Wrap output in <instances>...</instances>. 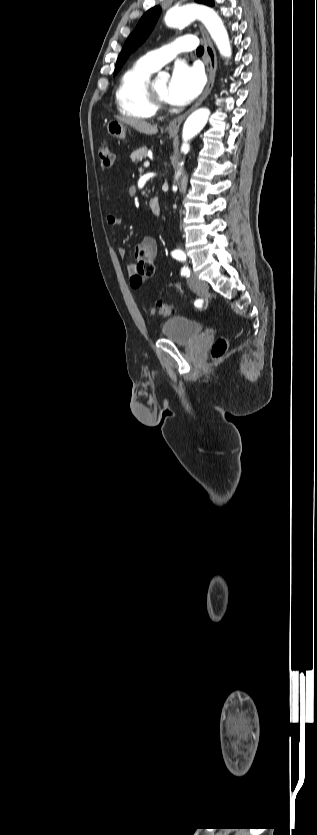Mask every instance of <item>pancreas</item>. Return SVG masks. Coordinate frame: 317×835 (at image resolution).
<instances>
[{
    "label": "pancreas",
    "instance_id": "obj_1",
    "mask_svg": "<svg viewBox=\"0 0 317 835\" xmlns=\"http://www.w3.org/2000/svg\"><path fill=\"white\" fill-rule=\"evenodd\" d=\"M146 157H147V147L146 146H143L142 148H139L138 150L132 152V154H131V159L135 163H138V162L142 161Z\"/></svg>",
    "mask_w": 317,
    "mask_h": 835
}]
</instances>
